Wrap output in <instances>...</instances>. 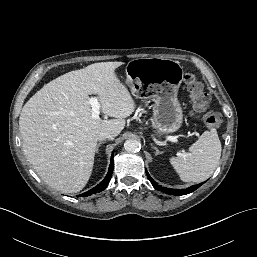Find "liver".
Instances as JSON below:
<instances>
[{
	"mask_svg": "<svg viewBox=\"0 0 257 257\" xmlns=\"http://www.w3.org/2000/svg\"><path fill=\"white\" fill-rule=\"evenodd\" d=\"M123 62H100L68 72L44 85L22 108L19 130L23 152L36 173L62 193H77L93 170L98 134L117 135L135 102L115 69ZM89 95L115 119L92 117Z\"/></svg>",
	"mask_w": 257,
	"mask_h": 257,
	"instance_id": "1",
	"label": "liver"
}]
</instances>
